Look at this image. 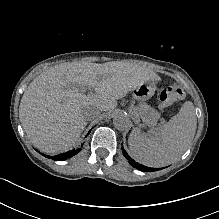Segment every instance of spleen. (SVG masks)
Segmentation results:
<instances>
[{
  "label": "spleen",
  "mask_w": 219,
  "mask_h": 219,
  "mask_svg": "<svg viewBox=\"0 0 219 219\" xmlns=\"http://www.w3.org/2000/svg\"><path fill=\"white\" fill-rule=\"evenodd\" d=\"M196 127L194 105L191 101H186L179 113L156 136L144 137L139 129H133L128 138L130 154L145 166H166L188 149Z\"/></svg>",
  "instance_id": "obj_1"
}]
</instances>
